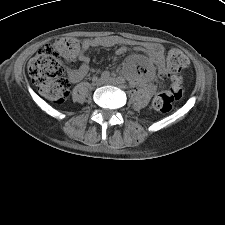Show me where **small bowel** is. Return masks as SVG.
<instances>
[{
	"instance_id": "c3829d8e",
	"label": "small bowel",
	"mask_w": 225,
	"mask_h": 225,
	"mask_svg": "<svg viewBox=\"0 0 225 225\" xmlns=\"http://www.w3.org/2000/svg\"><path fill=\"white\" fill-rule=\"evenodd\" d=\"M121 42L118 38L110 36V37H96V38H88L82 42V51L79 56V60L81 65L74 70H68L67 74L71 82L75 83L82 80L89 71V57L87 52L93 48L102 47V48H111L117 46ZM140 51L145 52L149 57V64L162 66L163 64V47L159 44H145L138 47ZM128 51L126 46H119L115 50L116 55H123ZM133 74V73H132Z\"/></svg>"
}]
</instances>
